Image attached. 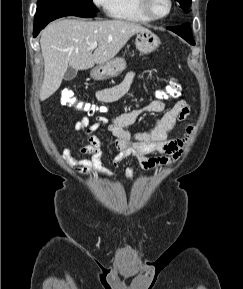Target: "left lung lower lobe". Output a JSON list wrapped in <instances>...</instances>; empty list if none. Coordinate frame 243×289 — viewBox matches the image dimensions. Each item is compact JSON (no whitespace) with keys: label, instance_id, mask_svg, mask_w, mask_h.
<instances>
[{"label":"left lung lower lobe","instance_id":"left-lung-lower-lobe-1","mask_svg":"<svg viewBox=\"0 0 243 289\" xmlns=\"http://www.w3.org/2000/svg\"><path fill=\"white\" fill-rule=\"evenodd\" d=\"M167 29L175 32L179 36H181L183 39H185L187 42L190 44L194 45L195 42L193 41L192 34H191V29L189 24H183L181 26L177 27H167Z\"/></svg>","mask_w":243,"mask_h":289}]
</instances>
